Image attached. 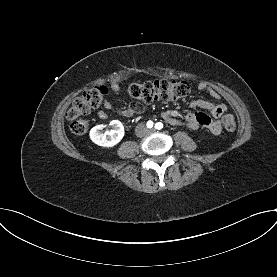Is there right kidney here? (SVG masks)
<instances>
[{
  "label": "right kidney",
  "mask_w": 277,
  "mask_h": 277,
  "mask_svg": "<svg viewBox=\"0 0 277 277\" xmlns=\"http://www.w3.org/2000/svg\"><path fill=\"white\" fill-rule=\"evenodd\" d=\"M111 129L102 132L103 125H97L90 130V139L97 145L102 147H113L118 144L124 136V126L118 120L110 122Z\"/></svg>",
  "instance_id": "1"
}]
</instances>
